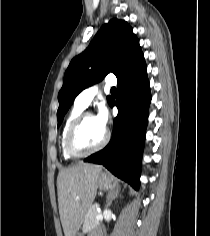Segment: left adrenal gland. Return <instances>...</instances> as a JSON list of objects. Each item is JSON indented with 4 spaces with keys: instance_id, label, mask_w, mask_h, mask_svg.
Here are the masks:
<instances>
[{
    "instance_id": "obj_1",
    "label": "left adrenal gland",
    "mask_w": 210,
    "mask_h": 236,
    "mask_svg": "<svg viewBox=\"0 0 210 236\" xmlns=\"http://www.w3.org/2000/svg\"><path fill=\"white\" fill-rule=\"evenodd\" d=\"M119 191H120V189H116L115 191H112V192H110V193L108 194L106 207H108V206L112 203V200H113L115 197H118Z\"/></svg>"
}]
</instances>
